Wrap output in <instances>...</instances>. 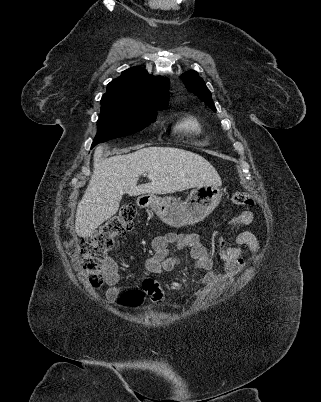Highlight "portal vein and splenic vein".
<instances>
[{"label":"portal vein and splenic vein","instance_id":"obj_1","mask_svg":"<svg viewBox=\"0 0 321 402\" xmlns=\"http://www.w3.org/2000/svg\"><path fill=\"white\" fill-rule=\"evenodd\" d=\"M144 176H146V174H144ZM147 177H148L149 179H154V176H152V175H147Z\"/></svg>","mask_w":321,"mask_h":402}]
</instances>
